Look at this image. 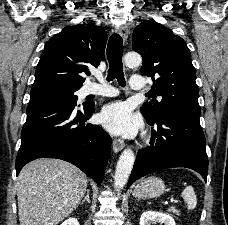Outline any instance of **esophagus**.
Listing matches in <instances>:
<instances>
[{"mask_svg": "<svg viewBox=\"0 0 228 225\" xmlns=\"http://www.w3.org/2000/svg\"><path fill=\"white\" fill-rule=\"evenodd\" d=\"M117 32L121 36V38L123 39V42L126 43L127 38H128L127 28L124 26H121L120 28L117 29ZM112 146H113L114 152H116V153L120 152L124 148V141L121 140L120 138H114Z\"/></svg>", "mask_w": 228, "mask_h": 225, "instance_id": "esophagus-1", "label": "esophagus"}]
</instances>
